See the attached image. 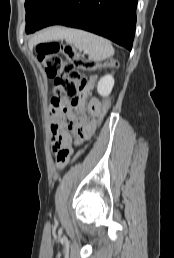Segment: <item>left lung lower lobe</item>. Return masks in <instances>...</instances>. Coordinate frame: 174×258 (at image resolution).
<instances>
[{
    "label": "left lung lower lobe",
    "mask_w": 174,
    "mask_h": 258,
    "mask_svg": "<svg viewBox=\"0 0 174 258\" xmlns=\"http://www.w3.org/2000/svg\"><path fill=\"white\" fill-rule=\"evenodd\" d=\"M138 0H60L37 30L51 25L79 28L132 49Z\"/></svg>",
    "instance_id": "obj_1"
}]
</instances>
